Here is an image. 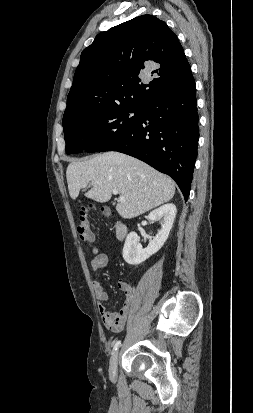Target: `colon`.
Segmentation results:
<instances>
[{
	"instance_id": "1",
	"label": "colon",
	"mask_w": 253,
	"mask_h": 413,
	"mask_svg": "<svg viewBox=\"0 0 253 413\" xmlns=\"http://www.w3.org/2000/svg\"><path fill=\"white\" fill-rule=\"evenodd\" d=\"M104 213H107L105 209H102ZM77 233L80 239L88 244H92L95 240L94 234L91 230L90 223L87 217V210L83 208L80 212V216L77 223Z\"/></svg>"
}]
</instances>
